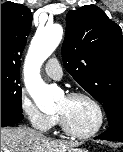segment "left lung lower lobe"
Segmentation results:
<instances>
[{
	"label": "left lung lower lobe",
	"instance_id": "left-lung-lower-lobe-1",
	"mask_svg": "<svg viewBox=\"0 0 123 152\" xmlns=\"http://www.w3.org/2000/svg\"><path fill=\"white\" fill-rule=\"evenodd\" d=\"M95 139L123 142V115L117 118V121L110 126V129L95 137Z\"/></svg>",
	"mask_w": 123,
	"mask_h": 152
}]
</instances>
